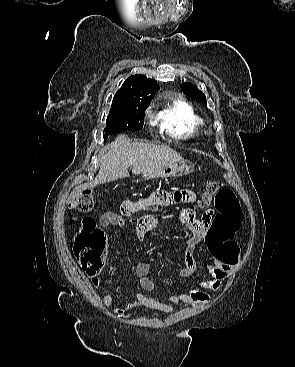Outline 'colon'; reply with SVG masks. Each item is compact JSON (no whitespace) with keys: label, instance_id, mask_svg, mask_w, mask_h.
Masks as SVG:
<instances>
[{"label":"colon","instance_id":"colon-1","mask_svg":"<svg viewBox=\"0 0 295 367\" xmlns=\"http://www.w3.org/2000/svg\"><path fill=\"white\" fill-rule=\"evenodd\" d=\"M212 199L217 214L207 234V246L223 261L236 263L239 258V247L233 238L243 219L238 199L232 190L215 181L207 184L200 204L207 205ZM164 203L165 199H160V204ZM72 207L81 213L91 211L94 207L93 194L81 193ZM73 252L87 274L95 276L101 271L106 254V236L92 218L82 219L81 226L73 238Z\"/></svg>","mask_w":295,"mask_h":367}]
</instances>
